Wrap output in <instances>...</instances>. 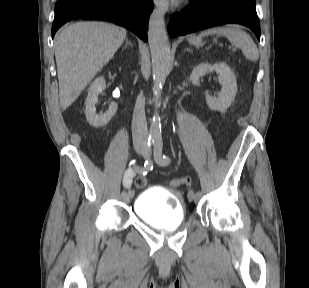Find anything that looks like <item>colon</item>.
Returning <instances> with one entry per match:
<instances>
[{
	"instance_id": "5ec220e1",
	"label": "colon",
	"mask_w": 309,
	"mask_h": 288,
	"mask_svg": "<svg viewBox=\"0 0 309 288\" xmlns=\"http://www.w3.org/2000/svg\"><path fill=\"white\" fill-rule=\"evenodd\" d=\"M145 184H146V179L144 177L136 178L135 185L138 188L144 187ZM170 185L172 187L186 186L190 188L192 186V180L189 177L174 178L170 181Z\"/></svg>"
}]
</instances>
